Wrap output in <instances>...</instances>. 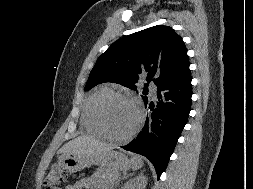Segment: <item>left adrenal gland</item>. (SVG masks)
<instances>
[{
  "label": "left adrenal gland",
  "instance_id": "1",
  "mask_svg": "<svg viewBox=\"0 0 253 189\" xmlns=\"http://www.w3.org/2000/svg\"><path fill=\"white\" fill-rule=\"evenodd\" d=\"M128 176H129V175H127L126 173H124L122 179H124V178H126V177H128Z\"/></svg>",
  "mask_w": 253,
  "mask_h": 189
}]
</instances>
